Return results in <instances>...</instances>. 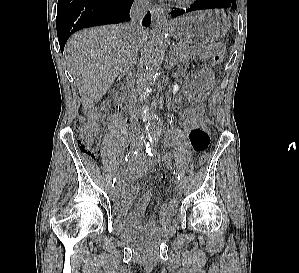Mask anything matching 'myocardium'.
<instances>
[{
    "label": "myocardium",
    "mask_w": 299,
    "mask_h": 273,
    "mask_svg": "<svg viewBox=\"0 0 299 273\" xmlns=\"http://www.w3.org/2000/svg\"><path fill=\"white\" fill-rule=\"evenodd\" d=\"M194 0H174L177 6L179 7H187L189 6Z\"/></svg>",
    "instance_id": "1"
}]
</instances>
